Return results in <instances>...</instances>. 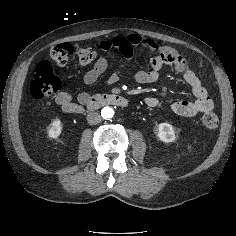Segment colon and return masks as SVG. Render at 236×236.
<instances>
[{
  "instance_id": "1",
  "label": "colon",
  "mask_w": 236,
  "mask_h": 236,
  "mask_svg": "<svg viewBox=\"0 0 236 236\" xmlns=\"http://www.w3.org/2000/svg\"><path fill=\"white\" fill-rule=\"evenodd\" d=\"M74 48L69 43H62L53 46L49 50L50 58L59 66L67 63L73 54ZM78 61L82 66L90 65L96 57V52L91 47L79 48L76 52ZM61 88V81L55 75L50 62L44 61L37 65L30 83V94L35 99L49 97ZM203 124L209 129H215L219 125V117L213 112H208L203 116Z\"/></svg>"
}]
</instances>
